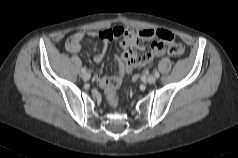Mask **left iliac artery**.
I'll list each match as a JSON object with an SVG mask.
<instances>
[{
    "label": "left iliac artery",
    "instance_id": "44dca946",
    "mask_svg": "<svg viewBox=\"0 0 238 158\" xmlns=\"http://www.w3.org/2000/svg\"><path fill=\"white\" fill-rule=\"evenodd\" d=\"M154 74H155L156 78L159 77V73H158V71H155Z\"/></svg>",
    "mask_w": 238,
    "mask_h": 158
}]
</instances>
